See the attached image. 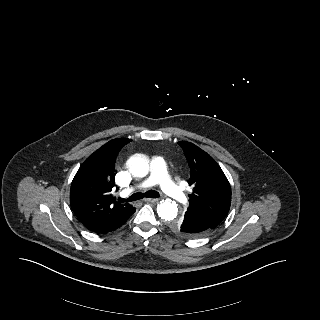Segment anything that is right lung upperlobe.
<instances>
[{
	"label": "right lung upper lobe",
	"instance_id": "1",
	"mask_svg": "<svg viewBox=\"0 0 320 320\" xmlns=\"http://www.w3.org/2000/svg\"><path fill=\"white\" fill-rule=\"evenodd\" d=\"M130 141L127 138L113 139L101 146L84 161L72 181L71 208L91 231L123 219L133 210L132 205L117 202L110 193L115 186V158Z\"/></svg>",
	"mask_w": 320,
	"mask_h": 320
}]
</instances>
